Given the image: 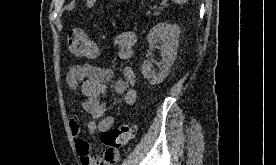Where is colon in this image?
<instances>
[{
  "label": "colon",
  "instance_id": "obj_1",
  "mask_svg": "<svg viewBox=\"0 0 276 165\" xmlns=\"http://www.w3.org/2000/svg\"><path fill=\"white\" fill-rule=\"evenodd\" d=\"M68 46L72 54L80 57L94 58L99 53L98 47L91 37L77 28L69 31ZM133 130L130 123H124L104 132L100 138L102 149L107 151L111 157L114 151L123 148L131 141Z\"/></svg>",
  "mask_w": 276,
  "mask_h": 165
}]
</instances>
